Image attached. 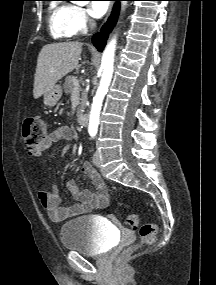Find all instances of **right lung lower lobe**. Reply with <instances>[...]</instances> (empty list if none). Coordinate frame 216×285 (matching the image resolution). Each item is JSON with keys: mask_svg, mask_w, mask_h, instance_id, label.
<instances>
[{"mask_svg": "<svg viewBox=\"0 0 216 285\" xmlns=\"http://www.w3.org/2000/svg\"><path fill=\"white\" fill-rule=\"evenodd\" d=\"M113 1H116V4L113 8L111 17L108 19L107 23L105 25H103L101 32L96 33L92 38L93 45L100 52L103 51V49L106 45V41L108 39V34L112 31L113 27L115 26V24L117 22L119 7H120L119 2L121 0H113Z\"/></svg>", "mask_w": 216, "mask_h": 285, "instance_id": "right-lung-lower-lobe-1", "label": "right lung lower lobe"}]
</instances>
